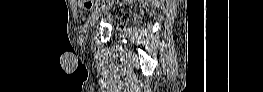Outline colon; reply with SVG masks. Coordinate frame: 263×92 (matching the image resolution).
Returning a JSON list of instances; mask_svg holds the SVG:
<instances>
[{
	"instance_id": "5ec220e1",
	"label": "colon",
	"mask_w": 263,
	"mask_h": 92,
	"mask_svg": "<svg viewBox=\"0 0 263 92\" xmlns=\"http://www.w3.org/2000/svg\"><path fill=\"white\" fill-rule=\"evenodd\" d=\"M78 2L81 3L82 6H83L85 9H91V8H92L91 4H92L93 1H91V0H80V1H78Z\"/></svg>"
}]
</instances>
